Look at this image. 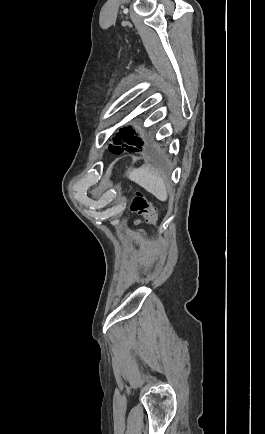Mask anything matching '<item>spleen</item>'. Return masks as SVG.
Here are the masks:
<instances>
[{
    "mask_svg": "<svg viewBox=\"0 0 265 434\" xmlns=\"http://www.w3.org/2000/svg\"><path fill=\"white\" fill-rule=\"evenodd\" d=\"M128 178L132 180V182H136V184L142 186V188L150 192V194H153L160 202H166V184L160 174H157L154 170H150V168H137V170L128 172Z\"/></svg>",
    "mask_w": 265,
    "mask_h": 434,
    "instance_id": "obj_1",
    "label": "spleen"
}]
</instances>
